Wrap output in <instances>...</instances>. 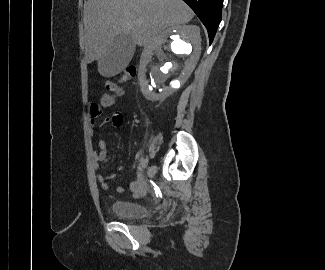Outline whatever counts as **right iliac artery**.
I'll return each instance as SVG.
<instances>
[{"mask_svg":"<svg viewBox=\"0 0 325 270\" xmlns=\"http://www.w3.org/2000/svg\"><path fill=\"white\" fill-rule=\"evenodd\" d=\"M140 164L142 168H146L148 165V159H142Z\"/></svg>","mask_w":325,"mask_h":270,"instance_id":"right-iliac-artery-1","label":"right iliac artery"}]
</instances>
